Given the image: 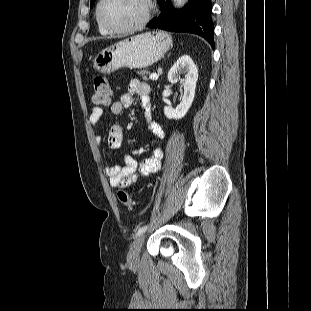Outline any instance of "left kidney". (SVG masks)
Wrapping results in <instances>:
<instances>
[{
  "instance_id": "5707ae66",
  "label": "left kidney",
  "mask_w": 311,
  "mask_h": 311,
  "mask_svg": "<svg viewBox=\"0 0 311 311\" xmlns=\"http://www.w3.org/2000/svg\"><path fill=\"white\" fill-rule=\"evenodd\" d=\"M182 74L185 75L183 79L180 77ZM168 80L171 83L180 81L184 87V95L176 108L170 105L165 106L164 114L168 119H181L187 114L192 105L198 80V69L189 55L178 58L168 72Z\"/></svg>"
}]
</instances>
